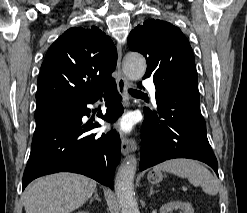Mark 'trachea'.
Returning <instances> with one entry per match:
<instances>
[{"mask_svg":"<svg viewBox=\"0 0 247 213\" xmlns=\"http://www.w3.org/2000/svg\"><path fill=\"white\" fill-rule=\"evenodd\" d=\"M129 92H130L132 95L139 93V91L134 90V89H130Z\"/></svg>","mask_w":247,"mask_h":213,"instance_id":"3493384b","label":"trachea"}]
</instances>
